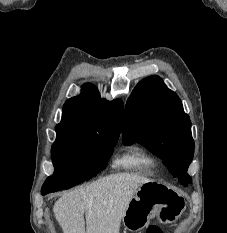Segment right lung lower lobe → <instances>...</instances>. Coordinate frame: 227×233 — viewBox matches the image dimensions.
<instances>
[{"mask_svg":"<svg viewBox=\"0 0 227 233\" xmlns=\"http://www.w3.org/2000/svg\"><path fill=\"white\" fill-rule=\"evenodd\" d=\"M46 194H48L47 192H42V195H46Z\"/></svg>","mask_w":227,"mask_h":233,"instance_id":"98d812e1","label":"right lung lower lobe"}]
</instances>
